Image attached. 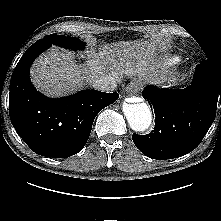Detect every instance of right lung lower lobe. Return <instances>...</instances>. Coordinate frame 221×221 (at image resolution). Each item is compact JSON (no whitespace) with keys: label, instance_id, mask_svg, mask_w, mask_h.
<instances>
[{"label":"right lung lower lobe","instance_id":"obj_1","mask_svg":"<svg viewBox=\"0 0 221 221\" xmlns=\"http://www.w3.org/2000/svg\"><path fill=\"white\" fill-rule=\"evenodd\" d=\"M52 44L38 40L22 56L10 81V119L18 135L36 154L64 158L83 149L96 115L119 94L83 90L59 99L36 91L29 78L31 63Z\"/></svg>","mask_w":221,"mask_h":221}]
</instances>
